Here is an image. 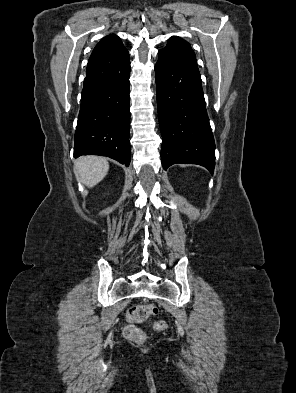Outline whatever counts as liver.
Returning a JSON list of instances; mask_svg holds the SVG:
<instances>
[{"instance_id":"obj_1","label":"liver","mask_w":296,"mask_h":393,"mask_svg":"<svg viewBox=\"0 0 296 393\" xmlns=\"http://www.w3.org/2000/svg\"><path fill=\"white\" fill-rule=\"evenodd\" d=\"M109 163L97 156H82L74 162V173L78 181L89 188L97 185L108 173Z\"/></svg>"}]
</instances>
